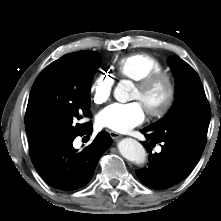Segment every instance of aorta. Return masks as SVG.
Segmentation results:
<instances>
[{
    "mask_svg": "<svg viewBox=\"0 0 221 221\" xmlns=\"http://www.w3.org/2000/svg\"><path fill=\"white\" fill-rule=\"evenodd\" d=\"M132 88L130 81H122L114 90V97L117 101L125 102L129 99V91ZM119 152L126 159L134 162L135 164H143L146 161V151L141 143L132 138L122 139L118 143Z\"/></svg>",
    "mask_w": 221,
    "mask_h": 221,
    "instance_id": "aorta-1",
    "label": "aorta"
}]
</instances>
